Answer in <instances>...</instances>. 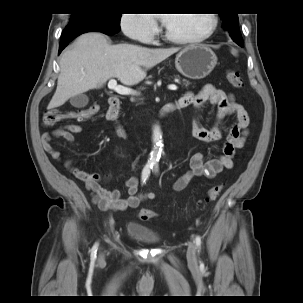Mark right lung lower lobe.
I'll use <instances>...</instances> for the list:
<instances>
[{
	"label": "right lung lower lobe",
	"instance_id": "obj_1",
	"mask_svg": "<svg viewBox=\"0 0 303 303\" xmlns=\"http://www.w3.org/2000/svg\"><path fill=\"white\" fill-rule=\"evenodd\" d=\"M120 31V25L111 24L104 21H88L73 26L66 27L61 35L59 53L77 36L86 32H102L113 35Z\"/></svg>",
	"mask_w": 303,
	"mask_h": 303
}]
</instances>
